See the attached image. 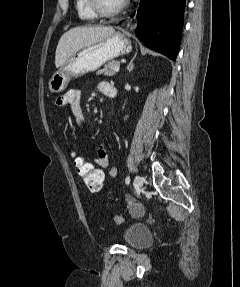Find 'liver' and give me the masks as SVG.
Here are the masks:
<instances>
[{
  "label": "liver",
  "mask_w": 240,
  "mask_h": 287,
  "mask_svg": "<svg viewBox=\"0 0 240 287\" xmlns=\"http://www.w3.org/2000/svg\"><path fill=\"white\" fill-rule=\"evenodd\" d=\"M115 29L112 26L86 25L74 27L65 32L57 45L55 66H62L77 51L98 43L112 35Z\"/></svg>",
  "instance_id": "liver-1"
}]
</instances>
